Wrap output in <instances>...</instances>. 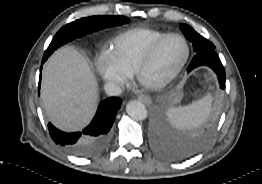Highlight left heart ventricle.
<instances>
[{
  "instance_id": "b2bd125f",
  "label": "left heart ventricle",
  "mask_w": 262,
  "mask_h": 184,
  "mask_svg": "<svg viewBox=\"0 0 262 184\" xmlns=\"http://www.w3.org/2000/svg\"><path fill=\"white\" fill-rule=\"evenodd\" d=\"M186 48L179 38L167 40L157 53L152 65L146 71L145 77L158 80L172 72L183 60Z\"/></svg>"
}]
</instances>
